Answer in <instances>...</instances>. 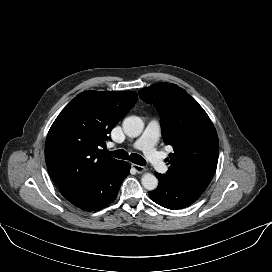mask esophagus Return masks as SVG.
<instances>
[{
	"label": "esophagus",
	"mask_w": 272,
	"mask_h": 272,
	"mask_svg": "<svg viewBox=\"0 0 272 272\" xmlns=\"http://www.w3.org/2000/svg\"><path fill=\"white\" fill-rule=\"evenodd\" d=\"M132 168L135 169L137 173H143L146 170L144 166L137 165V164H132Z\"/></svg>",
	"instance_id": "34e87169"
}]
</instances>
